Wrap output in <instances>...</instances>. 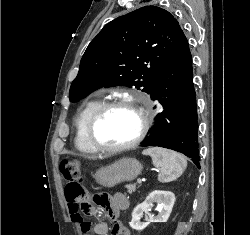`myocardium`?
Masks as SVG:
<instances>
[{"label": "myocardium", "instance_id": "1", "mask_svg": "<svg viewBox=\"0 0 250 235\" xmlns=\"http://www.w3.org/2000/svg\"><path fill=\"white\" fill-rule=\"evenodd\" d=\"M116 107H128L135 111L140 116V128L137 135L128 143L121 145H105L100 143L96 138V127L101 118L110 110ZM149 111L144 101H140L131 97H118L112 100L103 102L91 115L86 126V138L89 144L97 151L105 153H116L132 149L139 145L147 134L149 128Z\"/></svg>", "mask_w": 250, "mask_h": 235}]
</instances>
